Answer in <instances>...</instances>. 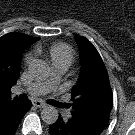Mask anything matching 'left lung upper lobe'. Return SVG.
Returning a JSON list of instances; mask_svg holds the SVG:
<instances>
[{"label": "left lung upper lobe", "mask_w": 135, "mask_h": 135, "mask_svg": "<svg viewBox=\"0 0 135 135\" xmlns=\"http://www.w3.org/2000/svg\"><path fill=\"white\" fill-rule=\"evenodd\" d=\"M75 39L82 65L78 84L72 89V118L103 130L113 103L107 70L90 41L81 36H75Z\"/></svg>", "instance_id": "1"}]
</instances>
